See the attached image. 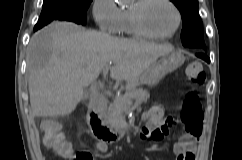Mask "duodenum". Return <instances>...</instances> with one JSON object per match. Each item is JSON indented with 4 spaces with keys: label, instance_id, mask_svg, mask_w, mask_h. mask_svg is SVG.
I'll use <instances>...</instances> for the list:
<instances>
[{
    "label": "duodenum",
    "instance_id": "obj_1",
    "mask_svg": "<svg viewBox=\"0 0 242 160\" xmlns=\"http://www.w3.org/2000/svg\"><path fill=\"white\" fill-rule=\"evenodd\" d=\"M103 107L104 101L101 97H95L88 105L87 119L93 136L96 140L104 143L119 141L129 133V128L111 129L102 119L101 113Z\"/></svg>",
    "mask_w": 242,
    "mask_h": 160
}]
</instances>
